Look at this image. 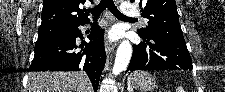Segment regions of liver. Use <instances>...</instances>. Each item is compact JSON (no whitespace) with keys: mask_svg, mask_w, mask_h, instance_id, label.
I'll return each mask as SVG.
<instances>
[{"mask_svg":"<svg viewBox=\"0 0 225 92\" xmlns=\"http://www.w3.org/2000/svg\"><path fill=\"white\" fill-rule=\"evenodd\" d=\"M29 92H92L88 76L82 72H33L28 75Z\"/></svg>","mask_w":225,"mask_h":92,"instance_id":"obj_1","label":"liver"}]
</instances>
